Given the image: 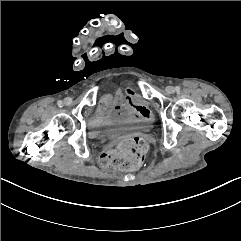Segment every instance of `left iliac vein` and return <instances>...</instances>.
<instances>
[{
  "instance_id": "left-iliac-vein-1",
  "label": "left iliac vein",
  "mask_w": 241,
  "mask_h": 241,
  "mask_svg": "<svg viewBox=\"0 0 241 241\" xmlns=\"http://www.w3.org/2000/svg\"><path fill=\"white\" fill-rule=\"evenodd\" d=\"M174 91H175V88L173 86H167L166 87V92L167 93H174Z\"/></svg>"
}]
</instances>
